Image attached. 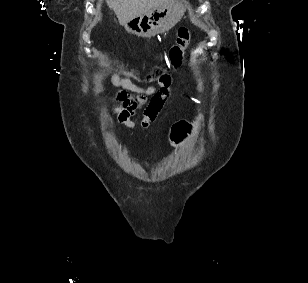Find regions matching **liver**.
<instances>
[{
  "label": "liver",
  "instance_id": "obj_1",
  "mask_svg": "<svg viewBox=\"0 0 308 283\" xmlns=\"http://www.w3.org/2000/svg\"><path fill=\"white\" fill-rule=\"evenodd\" d=\"M171 1L173 0H106L108 6L115 12L120 25H125L134 17Z\"/></svg>",
  "mask_w": 308,
  "mask_h": 283
}]
</instances>
